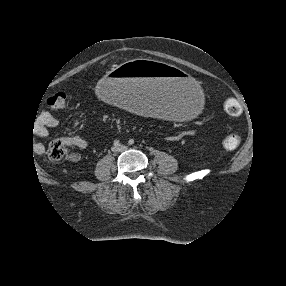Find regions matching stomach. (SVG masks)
I'll return each mask as SVG.
<instances>
[{
	"instance_id": "obj_1",
	"label": "stomach",
	"mask_w": 286,
	"mask_h": 286,
	"mask_svg": "<svg viewBox=\"0 0 286 286\" xmlns=\"http://www.w3.org/2000/svg\"><path fill=\"white\" fill-rule=\"evenodd\" d=\"M94 91L103 102L176 125L205 114L209 95L198 78L164 62L127 60L99 77Z\"/></svg>"
}]
</instances>
